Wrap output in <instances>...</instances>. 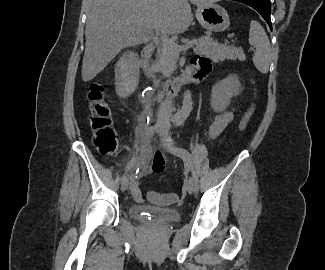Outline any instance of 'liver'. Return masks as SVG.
<instances>
[{
    "mask_svg": "<svg viewBox=\"0 0 325 270\" xmlns=\"http://www.w3.org/2000/svg\"><path fill=\"white\" fill-rule=\"evenodd\" d=\"M212 0H190L193 4ZM192 22L188 0H88L82 79L91 81L120 51L156 36L185 32Z\"/></svg>",
    "mask_w": 325,
    "mask_h": 270,
    "instance_id": "1",
    "label": "liver"
}]
</instances>
